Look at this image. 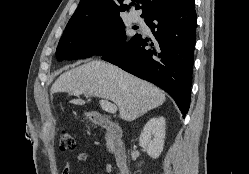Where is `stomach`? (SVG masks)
I'll return each mask as SVG.
<instances>
[{
	"label": "stomach",
	"mask_w": 249,
	"mask_h": 174,
	"mask_svg": "<svg viewBox=\"0 0 249 174\" xmlns=\"http://www.w3.org/2000/svg\"><path fill=\"white\" fill-rule=\"evenodd\" d=\"M91 115L89 113H86V117H90Z\"/></svg>",
	"instance_id": "0dacf381"
}]
</instances>
